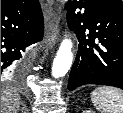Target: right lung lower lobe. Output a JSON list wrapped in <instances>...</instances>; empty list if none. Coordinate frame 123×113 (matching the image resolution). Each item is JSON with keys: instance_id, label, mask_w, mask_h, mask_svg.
<instances>
[{"instance_id": "98d812e1", "label": "right lung lower lobe", "mask_w": 123, "mask_h": 113, "mask_svg": "<svg viewBox=\"0 0 123 113\" xmlns=\"http://www.w3.org/2000/svg\"><path fill=\"white\" fill-rule=\"evenodd\" d=\"M44 20L38 0L1 5V73L20 66L25 48L42 40Z\"/></svg>"}]
</instances>
